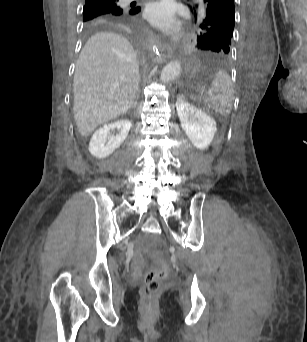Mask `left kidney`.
I'll return each mask as SVG.
<instances>
[{
	"instance_id": "1",
	"label": "left kidney",
	"mask_w": 307,
	"mask_h": 342,
	"mask_svg": "<svg viewBox=\"0 0 307 342\" xmlns=\"http://www.w3.org/2000/svg\"><path fill=\"white\" fill-rule=\"evenodd\" d=\"M176 110L186 136L192 142L195 148L206 150L210 146L214 134L217 130V124L211 116L191 106L185 98H178Z\"/></svg>"
}]
</instances>
